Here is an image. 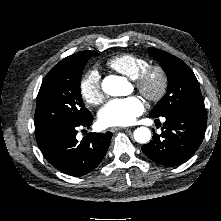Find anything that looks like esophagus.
<instances>
[{
    "mask_svg": "<svg viewBox=\"0 0 221 221\" xmlns=\"http://www.w3.org/2000/svg\"><path fill=\"white\" fill-rule=\"evenodd\" d=\"M109 130L111 132H116V131H119V130H128V128H125V127H111Z\"/></svg>",
    "mask_w": 221,
    "mask_h": 221,
    "instance_id": "esophagus-1",
    "label": "esophagus"
}]
</instances>
